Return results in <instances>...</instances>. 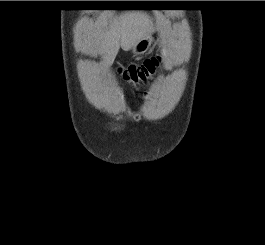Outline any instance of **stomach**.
<instances>
[{
    "instance_id": "0dacf381",
    "label": "stomach",
    "mask_w": 265,
    "mask_h": 245,
    "mask_svg": "<svg viewBox=\"0 0 265 245\" xmlns=\"http://www.w3.org/2000/svg\"><path fill=\"white\" fill-rule=\"evenodd\" d=\"M152 42H153L152 36H148V37L142 39L132 49L133 54H135V55L144 54L145 52L148 51Z\"/></svg>"
}]
</instances>
